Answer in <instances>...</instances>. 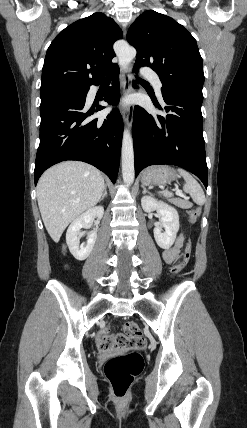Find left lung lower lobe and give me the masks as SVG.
Segmentation results:
<instances>
[{
  "label": "left lung lower lobe",
  "instance_id": "left-lung-lower-lobe-1",
  "mask_svg": "<svg viewBox=\"0 0 247 428\" xmlns=\"http://www.w3.org/2000/svg\"><path fill=\"white\" fill-rule=\"evenodd\" d=\"M167 114L152 116L135 106L132 127L135 175L147 166L171 164L195 174L207 188V164L202 129L203 99L163 93Z\"/></svg>",
  "mask_w": 247,
  "mask_h": 428
}]
</instances>
